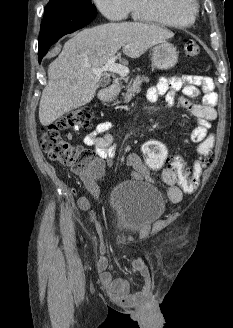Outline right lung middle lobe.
I'll use <instances>...</instances> for the list:
<instances>
[{
  "mask_svg": "<svg viewBox=\"0 0 233 328\" xmlns=\"http://www.w3.org/2000/svg\"><path fill=\"white\" fill-rule=\"evenodd\" d=\"M45 12H96V7L91 0H50L45 7Z\"/></svg>",
  "mask_w": 233,
  "mask_h": 328,
  "instance_id": "dd1d6c3e",
  "label": "right lung middle lobe"
}]
</instances>
